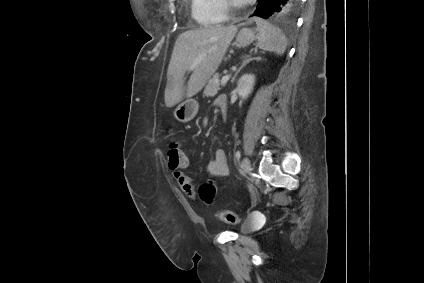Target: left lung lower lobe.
Masks as SVG:
<instances>
[{
  "mask_svg": "<svg viewBox=\"0 0 424 283\" xmlns=\"http://www.w3.org/2000/svg\"><path fill=\"white\" fill-rule=\"evenodd\" d=\"M301 0H259L255 12L251 16L269 17L289 16L293 14Z\"/></svg>",
  "mask_w": 424,
  "mask_h": 283,
  "instance_id": "0a47b994",
  "label": "left lung lower lobe"
}]
</instances>
